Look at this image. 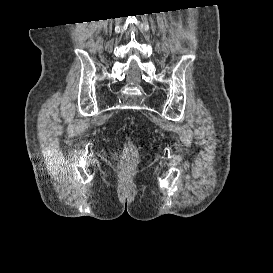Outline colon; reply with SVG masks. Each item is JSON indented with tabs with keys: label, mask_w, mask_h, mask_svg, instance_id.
Masks as SVG:
<instances>
[{
	"label": "colon",
	"mask_w": 273,
	"mask_h": 273,
	"mask_svg": "<svg viewBox=\"0 0 273 273\" xmlns=\"http://www.w3.org/2000/svg\"><path fill=\"white\" fill-rule=\"evenodd\" d=\"M137 151L135 145L131 142V140H127L121 155V161L124 166H128L131 164L133 159L136 157Z\"/></svg>",
	"instance_id": "colon-1"
}]
</instances>
